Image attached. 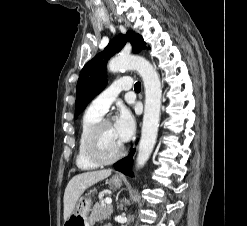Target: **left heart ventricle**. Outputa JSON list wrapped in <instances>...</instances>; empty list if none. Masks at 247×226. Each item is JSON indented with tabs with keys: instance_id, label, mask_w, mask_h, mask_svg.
Instances as JSON below:
<instances>
[{
	"instance_id": "left-heart-ventricle-1",
	"label": "left heart ventricle",
	"mask_w": 247,
	"mask_h": 226,
	"mask_svg": "<svg viewBox=\"0 0 247 226\" xmlns=\"http://www.w3.org/2000/svg\"><path fill=\"white\" fill-rule=\"evenodd\" d=\"M122 146L123 143L117 137L112 125L104 127L96 140V149L104 158L116 155Z\"/></svg>"
}]
</instances>
